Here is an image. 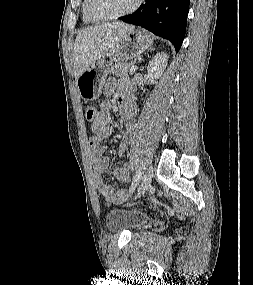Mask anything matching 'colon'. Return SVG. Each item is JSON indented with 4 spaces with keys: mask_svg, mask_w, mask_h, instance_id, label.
I'll use <instances>...</instances> for the list:
<instances>
[{
    "mask_svg": "<svg viewBox=\"0 0 253 285\" xmlns=\"http://www.w3.org/2000/svg\"><path fill=\"white\" fill-rule=\"evenodd\" d=\"M96 109L93 106H89L86 109V119L88 121H92L95 118ZM122 196L128 198L127 192L125 190H121Z\"/></svg>",
    "mask_w": 253,
    "mask_h": 285,
    "instance_id": "1",
    "label": "colon"
}]
</instances>
